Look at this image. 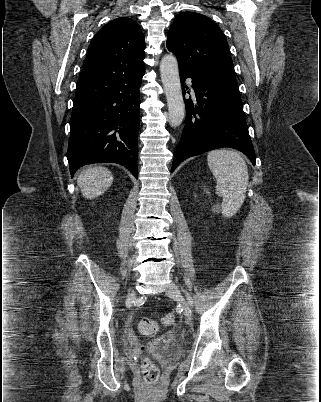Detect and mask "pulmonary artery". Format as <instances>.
I'll list each match as a JSON object with an SVG mask.
<instances>
[{
	"label": "pulmonary artery",
	"instance_id": "1",
	"mask_svg": "<svg viewBox=\"0 0 321 402\" xmlns=\"http://www.w3.org/2000/svg\"><path fill=\"white\" fill-rule=\"evenodd\" d=\"M188 83H189V84H191V81H190V80H188Z\"/></svg>",
	"mask_w": 321,
	"mask_h": 402
}]
</instances>
